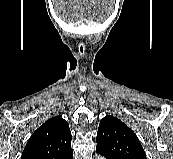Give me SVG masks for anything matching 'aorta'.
Wrapping results in <instances>:
<instances>
[{
	"instance_id": "aorta-1",
	"label": "aorta",
	"mask_w": 173,
	"mask_h": 159,
	"mask_svg": "<svg viewBox=\"0 0 173 159\" xmlns=\"http://www.w3.org/2000/svg\"><path fill=\"white\" fill-rule=\"evenodd\" d=\"M97 159H104L103 157H98Z\"/></svg>"
}]
</instances>
